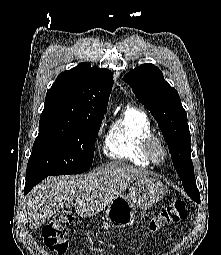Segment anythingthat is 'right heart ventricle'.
I'll return each mask as SVG.
<instances>
[{"label":"right heart ventricle","mask_w":221,"mask_h":255,"mask_svg":"<svg viewBox=\"0 0 221 255\" xmlns=\"http://www.w3.org/2000/svg\"><path fill=\"white\" fill-rule=\"evenodd\" d=\"M152 135L153 127L147 113L127 106L111 121L104 136L103 153L113 160L149 166L151 162L143 152V142Z\"/></svg>","instance_id":"obj_1"}]
</instances>
